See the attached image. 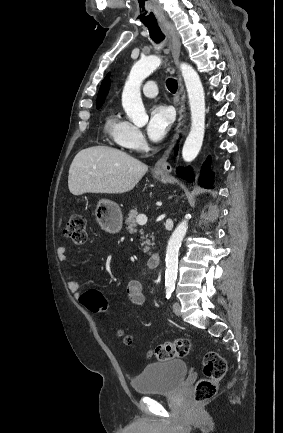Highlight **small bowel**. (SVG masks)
Here are the masks:
<instances>
[{"label":"small bowel","instance_id":"1","mask_svg":"<svg viewBox=\"0 0 283 433\" xmlns=\"http://www.w3.org/2000/svg\"><path fill=\"white\" fill-rule=\"evenodd\" d=\"M57 256L61 263H67L68 261V254H67V247L66 246H60L57 249ZM67 286L72 295L78 299L81 297L80 291H79V285L77 281L73 278L72 275H69ZM127 295L129 300L132 304L141 306L145 302V295L143 292V286L140 281L138 280H131L129 281L127 285Z\"/></svg>","mask_w":283,"mask_h":433}]
</instances>
